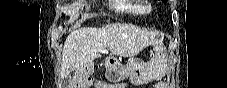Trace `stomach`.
Returning <instances> with one entry per match:
<instances>
[{"instance_id":"0dacf381","label":"stomach","mask_w":227,"mask_h":88,"mask_svg":"<svg viewBox=\"0 0 227 88\" xmlns=\"http://www.w3.org/2000/svg\"><path fill=\"white\" fill-rule=\"evenodd\" d=\"M154 55L144 63L134 59L122 65L115 57H108L105 61L107 75L113 82H119L129 78L134 85H143L161 78L168 69V55L162 44L154 45Z\"/></svg>"}]
</instances>
